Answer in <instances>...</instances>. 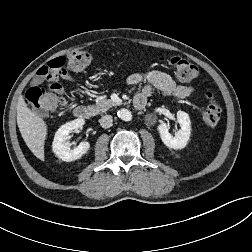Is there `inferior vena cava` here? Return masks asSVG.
<instances>
[{
    "mask_svg": "<svg viewBox=\"0 0 252 252\" xmlns=\"http://www.w3.org/2000/svg\"><path fill=\"white\" fill-rule=\"evenodd\" d=\"M100 125L103 127V128H110L112 126V123H113V118L111 115H105L103 116L100 120Z\"/></svg>",
    "mask_w": 252,
    "mask_h": 252,
    "instance_id": "1",
    "label": "inferior vena cava"
}]
</instances>
